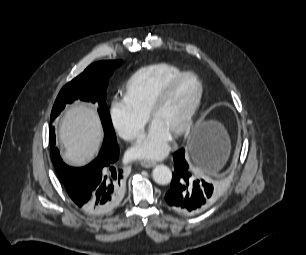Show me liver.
<instances>
[{
  "label": "liver",
  "instance_id": "1",
  "mask_svg": "<svg viewBox=\"0 0 306 255\" xmlns=\"http://www.w3.org/2000/svg\"><path fill=\"white\" fill-rule=\"evenodd\" d=\"M60 140L67 164L80 167L89 163L98 154L103 140L97 113L83 104L69 108L61 120Z\"/></svg>",
  "mask_w": 306,
  "mask_h": 255
}]
</instances>
